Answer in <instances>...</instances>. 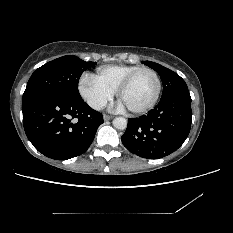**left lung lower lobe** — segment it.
<instances>
[{
    "label": "left lung lower lobe",
    "mask_w": 233,
    "mask_h": 233,
    "mask_svg": "<svg viewBox=\"0 0 233 233\" xmlns=\"http://www.w3.org/2000/svg\"><path fill=\"white\" fill-rule=\"evenodd\" d=\"M191 121L190 93L183 90L160 100L148 115L128 119L122 143L142 158H162L181 147L189 135Z\"/></svg>",
    "instance_id": "left-lung-lower-lobe-1"
}]
</instances>
